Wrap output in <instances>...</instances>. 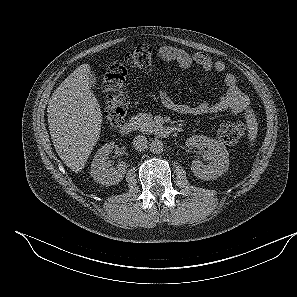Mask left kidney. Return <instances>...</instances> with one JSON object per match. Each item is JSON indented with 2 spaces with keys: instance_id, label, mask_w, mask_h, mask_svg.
<instances>
[{
  "instance_id": "left-kidney-1",
  "label": "left kidney",
  "mask_w": 297,
  "mask_h": 297,
  "mask_svg": "<svg viewBox=\"0 0 297 297\" xmlns=\"http://www.w3.org/2000/svg\"><path fill=\"white\" fill-rule=\"evenodd\" d=\"M188 151L193 148H206L204 159L206 164L196 159L191 164L194 175L201 180H212L224 174L229 168V153L226 147L217 140L203 136L193 135L186 140Z\"/></svg>"
}]
</instances>
